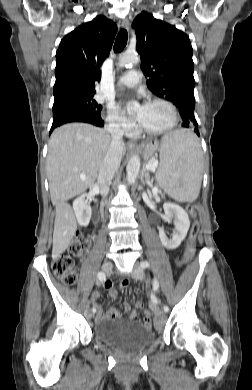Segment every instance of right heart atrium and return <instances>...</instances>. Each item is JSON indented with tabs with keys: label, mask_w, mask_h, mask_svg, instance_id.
Segmentation results:
<instances>
[{
	"label": "right heart atrium",
	"mask_w": 252,
	"mask_h": 390,
	"mask_svg": "<svg viewBox=\"0 0 252 390\" xmlns=\"http://www.w3.org/2000/svg\"><path fill=\"white\" fill-rule=\"evenodd\" d=\"M106 121L111 128L116 129L122 134L129 135L134 131L133 122L120 113L112 104L107 107Z\"/></svg>",
	"instance_id": "obj_1"
}]
</instances>
